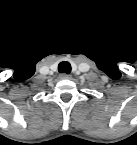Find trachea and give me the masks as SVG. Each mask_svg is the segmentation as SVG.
Returning a JSON list of instances; mask_svg holds the SVG:
<instances>
[{
	"mask_svg": "<svg viewBox=\"0 0 137 145\" xmlns=\"http://www.w3.org/2000/svg\"><path fill=\"white\" fill-rule=\"evenodd\" d=\"M58 71L60 73H65V74H69L71 72V65L69 62L67 61H62L59 65H58Z\"/></svg>",
	"mask_w": 137,
	"mask_h": 145,
	"instance_id": "1",
	"label": "trachea"
}]
</instances>
